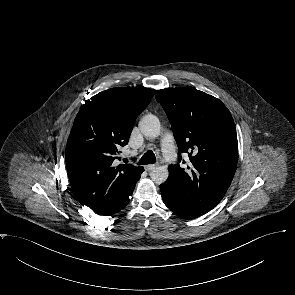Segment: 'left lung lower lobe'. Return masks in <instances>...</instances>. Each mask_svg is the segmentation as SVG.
Segmentation results:
<instances>
[{
    "instance_id": "left-lung-lower-lobe-1",
    "label": "left lung lower lobe",
    "mask_w": 295,
    "mask_h": 295,
    "mask_svg": "<svg viewBox=\"0 0 295 295\" xmlns=\"http://www.w3.org/2000/svg\"><path fill=\"white\" fill-rule=\"evenodd\" d=\"M162 199L165 205L173 211L176 215L184 219H193L203 214L192 209L181 197L178 191H176L168 183L160 185Z\"/></svg>"
}]
</instances>
